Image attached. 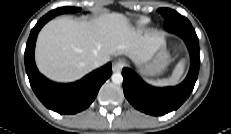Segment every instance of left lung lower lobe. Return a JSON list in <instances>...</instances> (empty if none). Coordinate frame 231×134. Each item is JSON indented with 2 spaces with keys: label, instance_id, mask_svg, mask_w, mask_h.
<instances>
[{
  "label": "left lung lower lobe",
  "instance_id": "1",
  "mask_svg": "<svg viewBox=\"0 0 231 134\" xmlns=\"http://www.w3.org/2000/svg\"><path fill=\"white\" fill-rule=\"evenodd\" d=\"M180 35L191 50V66L185 80L177 87L157 88L144 82L133 70L124 68L123 89L127 100L150 115H164L179 108L191 94L199 72V40L191 23L179 22L168 30Z\"/></svg>",
  "mask_w": 231,
  "mask_h": 134
}]
</instances>
